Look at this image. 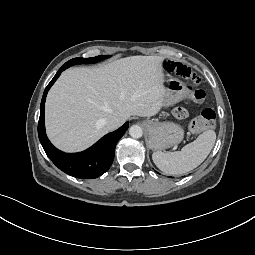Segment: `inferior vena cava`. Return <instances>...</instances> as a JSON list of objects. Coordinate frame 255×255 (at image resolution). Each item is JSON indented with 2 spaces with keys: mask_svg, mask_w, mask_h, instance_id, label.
Returning <instances> with one entry per match:
<instances>
[{
  "mask_svg": "<svg viewBox=\"0 0 255 255\" xmlns=\"http://www.w3.org/2000/svg\"><path fill=\"white\" fill-rule=\"evenodd\" d=\"M121 125L122 121L115 116H110L105 120V127L108 129V131L115 130Z\"/></svg>",
  "mask_w": 255,
  "mask_h": 255,
  "instance_id": "602c4592",
  "label": "inferior vena cava"
}]
</instances>
